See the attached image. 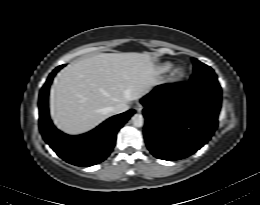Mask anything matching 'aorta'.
Returning a JSON list of instances; mask_svg holds the SVG:
<instances>
[{
    "label": "aorta",
    "mask_w": 260,
    "mask_h": 205,
    "mask_svg": "<svg viewBox=\"0 0 260 205\" xmlns=\"http://www.w3.org/2000/svg\"><path fill=\"white\" fill-rule=\"evenodd\" d=\"M132 123L135 127H142L144 123L143 116L141 114H134L131 118Z\"/></svg>",
    "instance_id": "762f6f07"
}]
</instances>
